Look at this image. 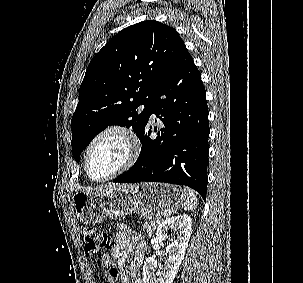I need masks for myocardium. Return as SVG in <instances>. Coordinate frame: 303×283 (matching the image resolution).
Listing matches in <instances>:
<instances>
[{"label": "myocardium", "mask_w": 303, "mask_h": 283, "mask_svg": "<svg viewBox=\"0 0 303 283\" xmlns=\"http://www.w3.org/2000/svg\"><path fill=\"white\" fill-rule=\"evenodd\" d=\"M110 134H116L120 135L122 138H124L127 147H128V152H127V157L123 164L119 166L115 171H113L111 174H109L106 177L103 178H94L88 170V159L90 152L94 145L103 137L110 135ZM141 150V145L139 138L137 137L136 133L127 126L121 125V124H111L100 130L89 142V144L86 147L85 153H84V160H83V166L85 173L87 177L94 181V182H106L109 180H112L121 174L125 173L129 169H131L134 164L136 163L139 154Z\"/></svg>", "instance_id": "1"}]
</instances>
